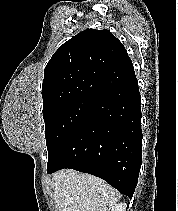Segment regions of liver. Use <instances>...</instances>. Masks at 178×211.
I'll list each match as a JSON object with an SVG mask.
<instances>
[{
    "mask_svg": "<svg viewBox=\"0 0 178 211\" xmlns=\"http://www.w3.org/2000/svg\"><path fill=\"white\" fill-rule=\"evenodd\" d=\"M51 185L58 211H109L119 200L104 180L71 169L56 172Z\"/></svg>",
    "mask_w": 178,
    "mask_h": 211,
    "instance_id": "1",
    "label": "liver"
}]
</instances>
